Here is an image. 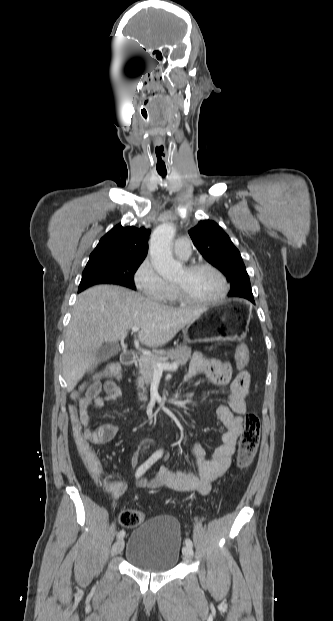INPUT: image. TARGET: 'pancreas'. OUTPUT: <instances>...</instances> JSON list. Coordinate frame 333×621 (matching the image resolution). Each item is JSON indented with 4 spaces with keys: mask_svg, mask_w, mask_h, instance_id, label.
Listing matches in <instances>:
<instances>
[{
    "mask_svg": "<svg viewBox=\"0 0 333 621\" xmlns=\"http://www.w3.org/2000/svg\"><path fill=\"white\" fill-rule=\"evenodd\" d=\"M190 357L191 348L186 345L164 352H156L154 355L142 356L138 360L140 376L136 382L137 388L142 389V392H139L138 394L139 400H147V396L144 395L146 391L144 385H149L151 383L156 363H167V360L170 359L174 363L182 366L187 363Z\"/></svg>",
    "mask_w": 333,
    "mask_h": 621,
    "instance_id": "cf45deb5",
    "label": "pancreas"
}]
</instances>
